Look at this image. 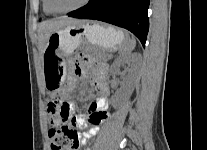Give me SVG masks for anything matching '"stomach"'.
I'll list each match as a JSON object with an SVG mask.
<instances>
[{"label": "stomach", "instance_id": "1", "mask_svg": "<svg viewBox=\"0 0 207 150\" xmlns=\"http://www.w3.org/2000/svg\"><path fill=\"white\" fill-rule=\"evenodd\" d=\"M128 41V35L121 29L97 22H82L52 32L42 53L47 88L62 86L66 77V58L74 55L82 44L89 46L92 58L102 61L106 53L118 50Z\"/></svg>", "mask_w": 207, "mask_h": 150}]
</instances>
